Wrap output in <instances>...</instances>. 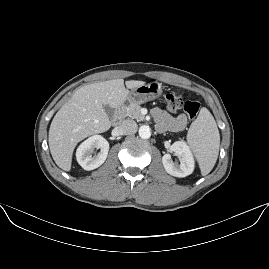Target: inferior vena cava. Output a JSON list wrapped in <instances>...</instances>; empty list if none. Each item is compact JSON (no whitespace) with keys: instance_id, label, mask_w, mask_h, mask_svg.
I'll list each match as a JSON object with an SVG mask.
<instances>
[{"instance_id":"inferior-vena-cava-1","label":"inferior vena cava","mask_w":269,"mask_h":269,"mask_svg":"<svg viewBox=\"0 0 269 269\" xmlns=\"http://www.w3.org/2000/svg\"><path fill=\"white\" fill-rule=\"evenodd\" d=\"M120 131L122 134H131L137 131V124L133 120H124L120 125Z\"/></svg>"}]
</instances>
